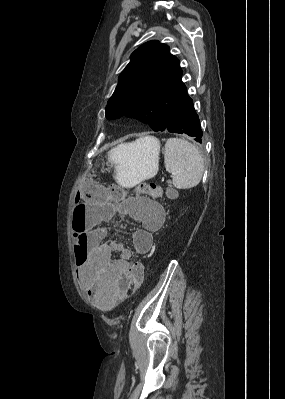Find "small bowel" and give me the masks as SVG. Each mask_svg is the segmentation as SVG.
Returning a JSON list of instances; mask_svg holds the SVG:
<instances>
[{
  "label": "small bowel",
  "mask_w": 285,
  "mask_h": 399,
  "mask_svg": "<svg viewBox=\"0 0 285 399\" xmlns=\"http://www.w3.org/2000/svg\"><path fill=\"white\" fill-rule=\"evenodd\" d=\"M89 209L97 218H104L107 213L112 216L124 214L111 205L105 209L96 206ZM129 214L139 224L131 234L132 247L103 237L100 232L86 231L82 228L86 218L72 219L74 257L80 263V283L104 312L111 311L134 285L130 271L132 256L134 252L146 254L149 251L153 235L160 230L165 218L163 209L153 203L138 204Z\"/></svg>",
  "instance_id": "obj_1"
}]
</instances>
